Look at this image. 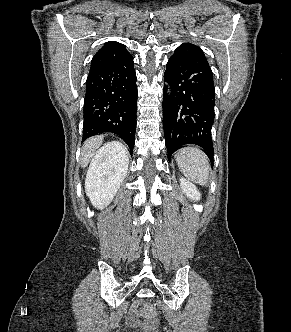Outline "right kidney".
<instances>
[{"label":"right kidney","instance_id":"ca27d5eb","mask_svg":"<svg viewBox=\"0 0 291 332\" xmlns=\"http://www.w3.org/2000/svg\"><path fill=\"white\" fill-rule=\"evenodd\" d=\"M128 158L119 142L101 147L93 157L85 180L86 194L92 204L100 209L106 207L123 183Z\"/></svg>","mask_w":291,"mask_h":332}]
</instances>
